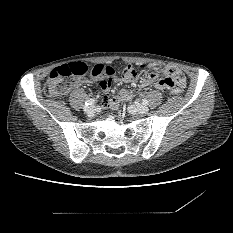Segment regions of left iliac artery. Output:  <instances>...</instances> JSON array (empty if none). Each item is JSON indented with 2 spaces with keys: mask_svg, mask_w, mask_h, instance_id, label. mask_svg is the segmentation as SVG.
<instances>
[{
  "mask_svg": "<svg viewBox=\"0 0 233 233\" xmlns=\"http://www.w3.org/2000/svg\"><path fill=\"white\" fill-rule=\"evenodd\" d=\"M142 103H143L144 105H147V104H148V100H147V99H143V100H142Z\"/></svg>",
  "mask_w": 233,
  "mask_h": 233,
  "instance_id": "left-iliac-artery-1",
  "label": "left iliac artery"
}]
</instances>
